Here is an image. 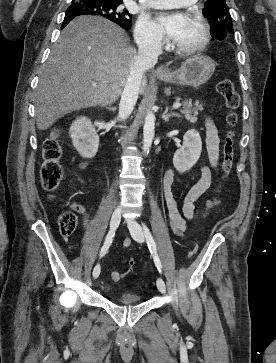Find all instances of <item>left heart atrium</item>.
Segmentation results:
<instances>
[{
    "mask_svg": "<svg viewBox=\"0 0 276 363\" xmlns=\"http://www.w3.org/2000/svg\"><path fill=\"white\" fill-rule=\"evenodd\" d=\"M186 16L181 12L164 13L158 17V25L170 39L176 40L185 24Z\"/></svg>",
    "mask_w": 276,
    "mask_h": 363,
    "instance_id": "obj_1",
    "label": "left heart atrium"
}]
</instances>
